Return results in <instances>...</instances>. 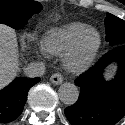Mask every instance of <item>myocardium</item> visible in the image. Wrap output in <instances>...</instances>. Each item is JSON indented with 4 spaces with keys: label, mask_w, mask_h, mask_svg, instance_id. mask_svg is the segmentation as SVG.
I'll list each match as a JSON object with an SVG mask.
<instances>
[{
    "label": "myocardium",
    "mask_w": 125,
    "mask_h": 125,
    "mask_svg": "<svg viewBox=\"0 0 125 125\" xmlns=\"http://www.w3.org/2000/svg\"><path fill=\"white\" fill-rule=\"evenodd\" d=\"M90 32H94L97 35L96 44L88 51V53L84 57L78 58L77 51L79 45L81 44L84 36ZM101 43L102 39L100 32L92 27L87 28L74 39V41L62 54L63 65L68 71L73 73H81L85 71L97 56L101 48Z\"/></svg>",
    "instance_id": "f54148a6"
}]
</instances>
